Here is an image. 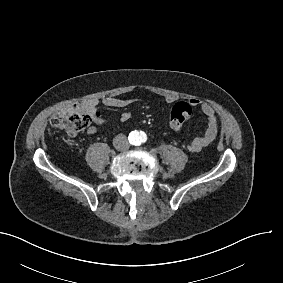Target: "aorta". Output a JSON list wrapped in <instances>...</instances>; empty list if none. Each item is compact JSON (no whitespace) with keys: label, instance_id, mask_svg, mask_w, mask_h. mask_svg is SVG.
I'll use <instances>...</instances> for the list:
<instances>
[{"label":"aorta","instance_id":"obj_1","mask_svg":"<svg viewBox=\"0 0 283 283\" xmlns=\"http://www.w3.org/2000/svg\"><path fill=\"white\" fill-rule=\"evenodd\" d=\"M131 139H132V143L134 144H140L142 142L141 134L136 131L132 132Z\"/></svg>","mask_w":283,"mask_h":283}]
</instances>
